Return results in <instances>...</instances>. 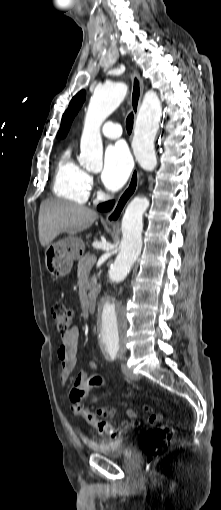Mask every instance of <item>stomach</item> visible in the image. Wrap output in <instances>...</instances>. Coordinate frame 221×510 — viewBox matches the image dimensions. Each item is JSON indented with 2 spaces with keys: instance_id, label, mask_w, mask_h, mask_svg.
<instances>
[{
  "instance_id": "stomach-1",
  "label": "stomach",
  "mask_w": 221,
  "mask_h": 510,
  "mask_svg": "<svg viewBox=\"0 0 221 510\" xmlns=\"http://www.w3.org/2000/svg\"><path fill=\"white\" fill-rule=\"evenodd\" d=\"M84 251L83 241L74 236L51 243L45 250V266L54 278L68 275L74 259L80 258Z\"/></svg>"
}]
</instances>
